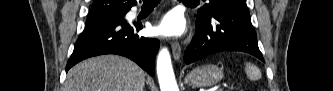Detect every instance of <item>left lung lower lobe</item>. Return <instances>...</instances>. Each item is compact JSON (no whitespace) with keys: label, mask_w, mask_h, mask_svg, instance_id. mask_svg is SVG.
Instances as JSON below:
<instances>
[{"label":"left lung lower lobe","mask_w":333,"mask_h":91,"mask_svg":"<svg viewBox=\"0 0 333 91\" xmlns=\"http://www.w3.org/2000/svg\"><path fill=\"white\" fill-rule=\"evenodd\" d=\"M221 51H242L264 61L246 4L221 5L196 19V34L184 61L190 64Z\"/></svg>","instance_id":"obj_1"}]
</instances>
